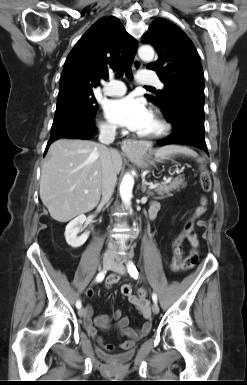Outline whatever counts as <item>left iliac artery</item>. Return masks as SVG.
Instances as JSON below:
<instances>
[{
  "label": "left iliac artery",
  "mask_w": 247,
  "mask_h": 385,
  "mask_svg": "<svg viewBox=\"0 0 247 385\" xmlns=\"http://www.w3.org/2000/svg\"><path fill=\"white\" fill-rule=\"evenodd\" d=\"M127 269H128V273L130 274L131 277H133L134 279L138 278V275H139L138 270L132 261H129L127 263ZM152 300L154 303H157L156 293L152 294Z\"/></svg>",
  "instance_id": "left-iliac-artery-1"
}]
</instances>
